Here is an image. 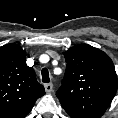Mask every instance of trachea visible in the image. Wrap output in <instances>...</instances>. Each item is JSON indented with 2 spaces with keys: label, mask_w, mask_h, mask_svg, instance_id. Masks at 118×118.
Listing matches in <instances>:
<instances>
[{
  "label": "trachea",
  "mask_w": 118,
  "mask_h": 118,
  "mask_svg": "<svg viewBox=\"0 0 118 118\" xmlns=\"http://www.w3.org/2000/svg\"><path fill=\"white\" fill-rule=\"evenodd\" d=\"M42 82H44V83L50 82L49 73H48V70L46 68L42 69Z\"/></svg>",
  "instance_id": "obj_1"
}]
</instances>
